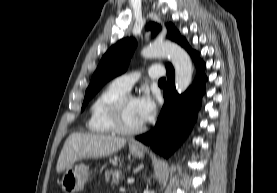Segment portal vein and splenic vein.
Masks as SVG:
<instances>
[{"label":"portal vein and splenic vein","instance_id":"obj_1","mask_svg":"<svg viewBox=\"0 0 277 193\" xmlns=\"http://www.w3.org/2000/svg\"><path fill=\"white\" fill-rule=\"evenodd\" d=\"M134 181H135V179L132 178V177L127 179V183H128V184H133Z\"/></svg>","mask_w":277,"mask_h":193}]
</instances>
